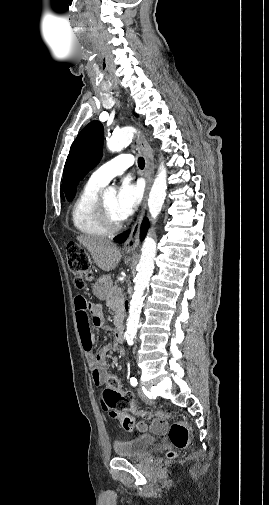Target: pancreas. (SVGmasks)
Listing matches in <instances>:
<instances>
[{"mask_svg":"<svg viewBox=\"0 0 269 505\" xmlns=\"http://www.w3.org/2000/svg\"><path fill=\"white\" fill-rule=\"evenodd\" d=\"M106 305L115 312L114 322L124 318V297L121 288L111 287L106 295Z\"/></svg>","mask_w":269,"mask_h":505,"instance_id":"1","label":"pancreas"}]
</instances>
